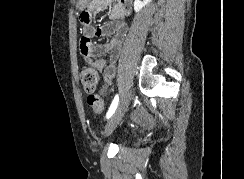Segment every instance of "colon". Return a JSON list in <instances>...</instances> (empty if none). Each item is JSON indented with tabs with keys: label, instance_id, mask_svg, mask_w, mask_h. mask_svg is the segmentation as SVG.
<instances>
[{
	"label": "colon",
	"instance_id": "5ec220e1",
	"mask_svg": "<svg viewBox=\"0 0 244 179\" xmlns=\"http://www.w3.org/2000/svg\"><path fill=\"white\" fill-rule=\"evenodd\" d=\"M80 79L85 92L88 93L87 105L91 112L95 115H101L105 110L104 99L95 94L96 87L98 85V74L89 65L82 67L80 71Z\"/></svg>",
	"mask_w": 244,
	"mask_h": 179
}]
</instances>
